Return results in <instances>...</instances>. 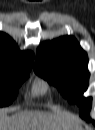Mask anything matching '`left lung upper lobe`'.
<instances>
[{
  "instance_id": "5c2ea615",
  "label": "left lung upper lobe",
  "mask_w": 95,
  "mask_h": 130,
  "mask_svg": "<svg viewBox=\"0 0 95 130\" xmlns=\"http://www.w3.org/2000/svg\"><path fill=\"white\" fill-rule=\"evenodd\" d=\"M87 64V54L76 39L65 36L38 48L34 71L77 103L81 117L90 120L91 98L82 97L88 86Z\"/></svg>"
}]
</instances>
